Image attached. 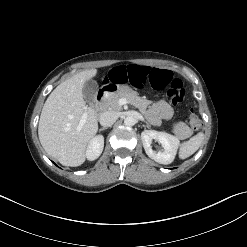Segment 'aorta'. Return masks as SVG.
I'll list each match as a JSON object with an SVG mask.
<instances>
[{
	"mask_svg": "<svg viewBox=\"0 0 247 247\" xmlns=\"http://www.w3.org/2000/svg\"><path fill=\"white\" fill-rule=\"evenodd\" d=\"M124 124L126 126H133L135 124V118L133 116H127V117H125Z\"/></svg>",
	"mask_w": 247,
	"mask_h": 247,
	"instance_id": "obj_1",
	"label": "aorta"
}]
</instances>
